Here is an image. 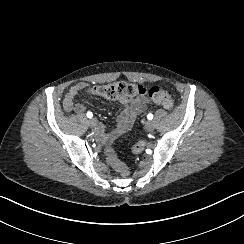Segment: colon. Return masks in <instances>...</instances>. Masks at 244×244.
<instances>
[{
  "label": "colon",
  "mask_w": 244,
  "mask_h": 244,
  "mask_svg": "<svg viewBox=\"0 0 244 244\" xmlns=\"http://www.w3.org/2000/svg\"><path fill=\"white\" fill-rule=\"evenodd\" d=\"M144 86L134 84L127 81H117L112 84H98L89 90V93L93 96L103 97L107 99H115L122 95L138 96L142 95L140 90ZM148 97L150 100L166 110H171L174 107V97L171 91L153 86L150 89ZM134 151L137 154H142L145 151V146L142 143H137L134 146ZM101 154L106 157V160L112 164L113 170L120 176H127L130 173V168L127 165H123L115 154V150L112 147L104 146L101 149Z\"/></svg>",
  "instance_id": "colon-1"
}]
</instances>
